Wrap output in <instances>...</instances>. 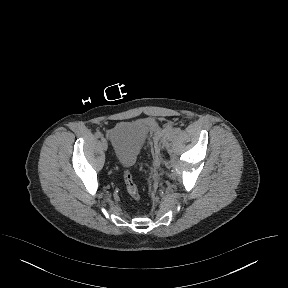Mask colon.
<instances>
[{
	"mask_svg": "<svg viewBox=\"0 0 288 288\" xmlns=\"http://www.w3.org/2000/svg\"><path fill=\"white\" fill-rule=\"evenodd\" d=\"M124 182H125L128 194L134 200H139L140 199L139 189H138L137 185L134 182L132 174L129 171H126L124 173Z\"/></svg>",
	"mask_w": 288,
	"mask_h": 288,
	"instance_id": "colon-1",
	"label": "colon"
}]
</instances>
